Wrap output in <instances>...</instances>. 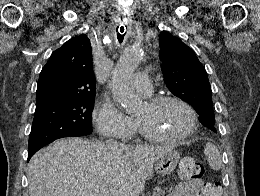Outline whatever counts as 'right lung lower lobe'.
<instances>
[{"label":"right lung lower lobe","mask_w":260,"mask_h":196,"mask_svg":"<svg viewBox=\"0 0 260 196\" xmlns=\"http://www.w3.org/2000/svg\"><path fill=\"white\" fill-rule=\"evenodd\" d=\"M38 151V150H37ZM36 151H29L28 150V160L33 156V154L35 153Z\"/></svg>","instance_id":"1"}]
</instances>
